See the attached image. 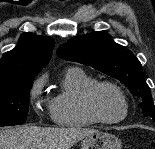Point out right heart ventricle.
Returning a JSON list of instances; mask_svg holds the SVG:
<instances>
[{
	"label": "right heart ventricle",
	"mask_w": 155,
	"mask_h": 149,
	"mask_svg": "<svg viewBox=\"0 0 155 149\" xmlns=\"http://www.w3.org/2000/svg\"><path fill=\"white\" fill-rule=\"evenodd\" d=\"M97 81L79 67L66 70L61 90L50 101L53 121L62 127H88L97 123L85 107V92Z\"/></svg>",
	"instance_id": "right-heart-ventricle-1"
}]
</instances>
